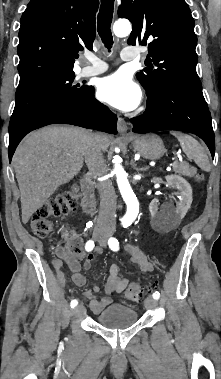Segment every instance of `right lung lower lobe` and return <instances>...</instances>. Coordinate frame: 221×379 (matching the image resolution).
<instances>
[{
	"mask_svg": "<svg viewBox=\"0 0 221 379\" xmlns=\"http://www.w3.org/2000/svg\"><path fill=\"white\" fill-rule=\"evenodd\" d=\"M56 123L72 124L111 134L117 133L116 115L94 98V88L89 86L87 92L80 98L71 103L45 110L9 133V160L11 161L17 145L26 134L37 128Z\"/></svg>",
	"mask_w": 221,
	"mask_h": 379,
	"instance_id": "98d812e1",
	"label": "right lung lower lobe"
}]
</instances>
